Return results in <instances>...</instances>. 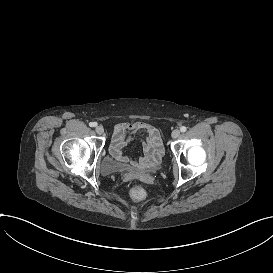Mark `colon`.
<instances>
[{"instance_id":"colon-1","label":"colon","mask_w":273,"mask_h":273,"mask_svg":"<svg viewBox=\"0 0 273 273\" xmlns=\"http://www.w3.org/2000/svg\"><path fill=\"white\" fill-rule=\"evenodd\" d=\"M127 197L133 202L144 203L148 199V193L140 184H133L129 187Z\"/></svg>"}]
</instances>
